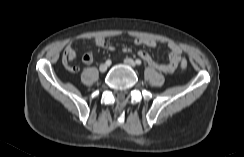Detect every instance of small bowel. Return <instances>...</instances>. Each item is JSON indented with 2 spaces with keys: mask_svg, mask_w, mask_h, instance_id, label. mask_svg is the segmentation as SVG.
Here are the masks:
<instances>
[{
  "mask_svg": "<svg viewBox=\"0 0 244 157\" xmlns=\"http://www.w3.org/2000/svg\"><path fill=\"white\" fill-rule=\"evenodd\" d=\"M134 43L139 46L140 45H144V46H148V47L157 46V42L150 38H136L134 40ZM94 44L99 48H104V49H107L110 51H114L116 49L115 46L107 43L105 41V39L102 37H96L94 39ZM168 49H169V56H168V61L166 63H160V62L155 61L148 52L143 51V50L139 51L138 55L150 67L155 68L158 71H161L164 73H173L177 69V67L180 63L182 52H181L180 47L173 42L168 43ZM122 51L125 53H130L131 48L124 47V48H122ZM69 53H74L73 44H71V43L68 44L64 49V54H69ZM93 59H94V55L90 51L86 52L83 56V62L85 64H91L93 62Z\"/></svg>",
  "mask_w": 244,
  "mask_h": 157,
  "instance_id": "c3829d8e",
  "label": "small bowel"
}]
</instances>
